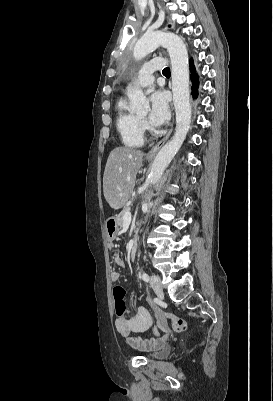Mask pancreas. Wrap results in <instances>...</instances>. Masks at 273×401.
I'll return each instance as SVG.
<instances>
[{
	"label": "pancreas",
	"instance_id": "1",
	"mask_svg": "<svg viewBox=\"0 0 273 401\" xmlns=\"http://www.w3.org/2000/svg\"><path fill=\"white\" fill-rule=\"evenodd\" d=\"M127 211H130V207H124L123 211H121V213H119L118 217H117V225L118 227H123L124 225V215L125 213H127Z\"/></svg>",
	"mask_w": 273,
	"mask_h": 401
}]
</instances>
